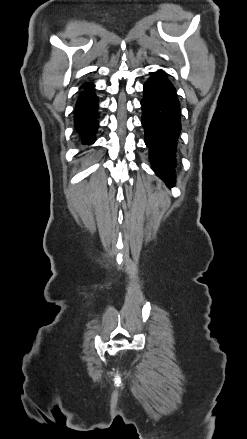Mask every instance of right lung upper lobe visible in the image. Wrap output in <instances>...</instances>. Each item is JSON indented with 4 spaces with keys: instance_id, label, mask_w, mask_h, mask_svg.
<instances>
[{
    "instance_id": "right-lung-upper-lobe-1",
    "label": "right lung upper lobe",
    "mask_w": 247,
    "mask_h": 439,
    "mask_svg": "<svg viewBox=\"0 0 247 439\" xmlns=\"http://www.w3.org/2000/svg\"><path fill=\"white\" fill-rule=\"evenodd\" d=\"M89 83H85V84H83L82 86H86V85H88Z\"/></svg>"
}]
</instances>
